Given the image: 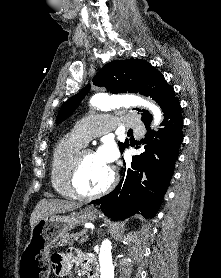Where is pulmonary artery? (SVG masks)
Returning a JSON list of instances; mask_svg holds the SVG:
<instances>
[{"label":"pulmonary artery","mask_w":221,"mask_h":278,"mask_svg":"<svg viewBox=\"0 0 221 278\" xmlns=\"http://www.w3.org/2000/svg\"><path fill=\"white\" fill-rule=\"evenodd\" d=\"M116 123H122V125L126 128H132L136 130L143 129L142 121L133 115L124 116L122 119L104 116L77 123L71 134L83 143H87L91 139L111 130Z\"/></svg>","instance_id":"e3ab8cb5"}]
</instances>
